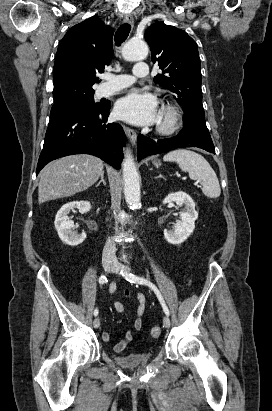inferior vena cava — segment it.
<instances>
[{
    "label": "inferior vena cava",
    "instance_id": "inferior-vena-cava-1",
    "mask_svg": "<svg viewBox=\"0 0 272 411\" xmlns=\"http://www.w3.org/2000/svg\"><path fill=\"white\" fill-rule=\"evenodd\" d=\"M116 247L113 240L110 238L106 241L103 253H102V261L103 262H113L115 258Z\"/></svg>",
    "mask_w": 272,
    "mask_h": 411
}]
</instances>
